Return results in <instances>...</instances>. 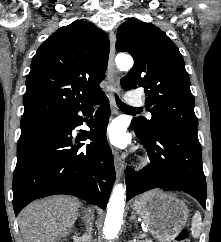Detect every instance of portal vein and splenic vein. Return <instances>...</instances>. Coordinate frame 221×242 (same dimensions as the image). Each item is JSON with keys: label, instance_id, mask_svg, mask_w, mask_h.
<instances>
[{"label": "portal vein and splenic vein", "instance_id": "1", "mask_svg": "<svg viewBox=\"0 0 221 242\" xmlns=\"http://www.w3.org/2000/svg\"><path fill=\"white\" fill-rule=\"evenodd\" d=\"M146 236V234L145 233H143V234H141V238H144Z\"/></svg>", "mask_w": 221, "mask_h": 242}]
</instances>
